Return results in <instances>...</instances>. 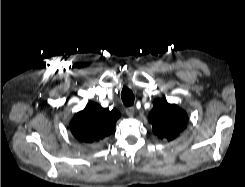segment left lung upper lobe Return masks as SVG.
Masks as SVG:
<instances>
[{"mask_svg":"<svg viewBox=\"0 0 245 187\" xmlns=\"http://www.w3.org/2000/svg\"><path fill=\"white\" fill-rule=\"evenodd\" d=\"M149 122L152 124L155 135L171 141L184 130L188 116L176 104H169L163 99H157L149 114Z\"/></svg>","mask_w":245,"mask_h":187,"instance_id":"obj_1","label":"left lung upper lobe"}]
</instances>
